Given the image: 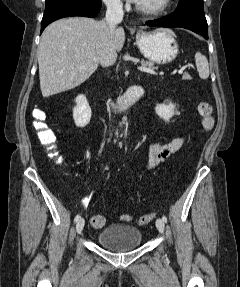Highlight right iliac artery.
<instances>
[{
    "label": "right iliac artery",
    "instance_id": "right-iliac-artery-1",
    "mask_svg": "<svg viewBox=\"0 0 240 287\" xmlns=\"http://www.w3.org/2000/svg\"><path fill=\"white\" fill-rule=\"evenodd\" d=\"M79 219H80V215L77 214V215L75 216V218H74V222H77Z\"/></svg>",
    "mask_w": 240,
    "mask_h": 287
}]
</instances>
